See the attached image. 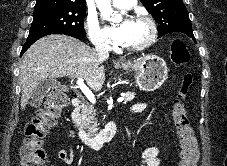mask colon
Wrapping results in <instances>:
<instances>
[{"mask_svg":"<svg viewBox=\"0 0 227 166\" xmlns=\"http://www.w3.org/2000/svg\"><path fill=\"white\" fill-rule=\"evenodd\" d=\"M171 57L175 64H186L189 61L190 51L183 41L174 40L172 42ZM192 83V75L186 73L171 107L180 148L178 166H197L199 158L197 139L189 123L184 104V99ZM67 105V95L59 89H54L49 93L45 105L38 115L26 124L24 128L26 138L20 149L22 166H45L46 151L43 148V140L47 132L56 125Z\"/></svg>","mask_w":227,"mask_h":166,"instance_id":"1","label":"colon"}]
</instances>
